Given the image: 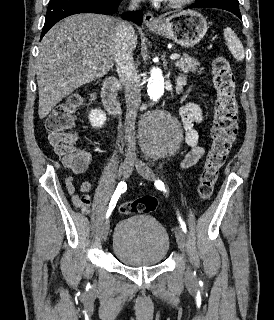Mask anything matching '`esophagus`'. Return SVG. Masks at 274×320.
<instances>
[{"mask_svg": "<svg viewBox=\"0 0 274 320\" xmlns=\"http://www.w3.org/2000/svg\"><path fill=\"white\" fill-rule=\"evenodd\" d=\"M143 22L147 26H154L158 24V20H156L151 12H147L144 15Z\"/></svg>", "mask_w": 274, "mask_h": 320, "instance_id": "34e87169", "label": "esophagus"}]
</instances>
